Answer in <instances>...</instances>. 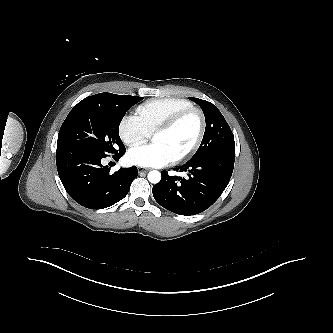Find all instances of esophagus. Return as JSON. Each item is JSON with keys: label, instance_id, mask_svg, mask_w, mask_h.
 Here are the masks:
<instances>
[{"label": "esophagus", "instance_id": "1", "mask_svg": "<svg viewBox=\"0 0 333 333\" xmlns=\"http://www.w3.org/2000/svg\"><path fill=\"white\" fill-rule=\"evenodd\" d=\"M147 172H148L147 169L138 168V173H139V174H144V173H147Z\"/></svg>", "mask_w": 333, "mask_h": 333}]
</instances>
